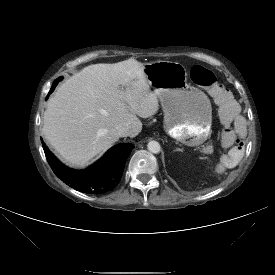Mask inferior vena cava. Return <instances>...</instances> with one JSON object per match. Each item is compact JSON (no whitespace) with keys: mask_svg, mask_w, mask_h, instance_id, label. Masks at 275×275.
<instances>
[{"mask_svg":"<svg viewBox=\"0 0 275 275\" xmlns=\"http://www.w3.org/2000/svg\"><path fill=\"white\" fill-rule=\"evenodd\" d=\"M111 134L115 139L119 137L129 136L130 130L127 125H118L111 130Z\"/></svg>","mask_w":275,"mask_h":275,"instance_id":"inferior-vena-cava-1","label":"inferior vena cava"}]
</instances>
